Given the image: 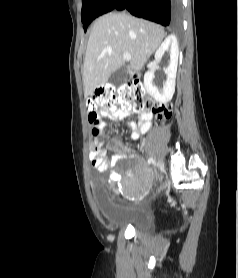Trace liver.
Segmentation results:
<instances>
[{
	"instance_id": "obj_1",
	"label": "liver",
	"mask_w": 238,
	"mask_h": 278,
	"mask_svg": "<svg viewBox=\"0 0 238 278\" xmlns=\"http://www.w3.org/2000/svg\"><path fill=\"white\" fill-rule=\"evenodd\" d=\"M165 37L164 29L126 13H108L91 29L83 65L85 95L104 86L110 75L124 65L123 53L131 55L129 74L140 71Z\"/></svg>"
}]
</instances>
